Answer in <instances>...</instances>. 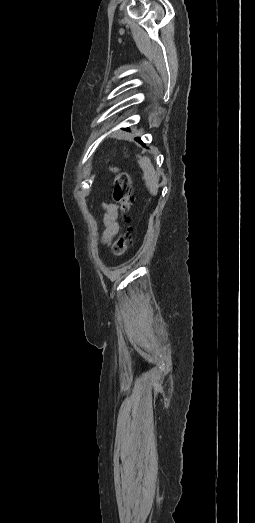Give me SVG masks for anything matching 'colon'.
Segmentation results:
<instances>
[{
  "mask_svg": "<svg viewBox=\"0 0 255 523\" xmlns=\"http://www.w3.org/2000/svg\"><path fill=\"white\" fill-rule=\"evenodd\" d=\"M110 170L115 174L112 198L119 205L122 226L118 238L113 243L112 251L115 255H123L133 241L132 228L127 216L133 201L132 180L127 172L120 171L117 167L113 166Z\"/></svg>",
  "mask_w": 255,
  "mask_h": 523,
  "instance_id": "obj_1",
  "label": "colon"
}]
</instances>
